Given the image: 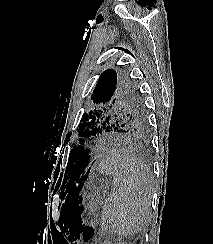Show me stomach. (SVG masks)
<instances>
[{
    "label": "stomach",
    "mask_w": 213,
    "mask_h": 244,
    "mask_svg": "<svg viewBox=\"0 0 213 244\" xmlns=\"http://www.w3.org/2000/svg\"><path fill=\"white\" fill-rule=\"evenodd\" d=\"M109 188V184L107 182L101 183L98 187L92 190L90 194V203L95 204L102 200L103 195L106 193Z\"/></svg>",
    "instance_id": "stomach-1"
}]
</instances>
